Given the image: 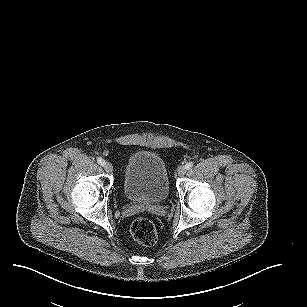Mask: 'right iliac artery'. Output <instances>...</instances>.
I'll use <instances>...</instances> for the list:
<instances>
[{"instance_id":"82829eb1","label":"right iliac artery","mask_w":307,"mask_h":307,"mask_svg":"<svg viewBox=\"0 0 307 307\" xmlns=\"http://www.w3.org/2000/svg\"><path fill=\"white\" fill-rule=\"evenodd\" d=\"M97 163L104 166L105 161L102 158H97Z\"/></svg>"}]
</instances>
